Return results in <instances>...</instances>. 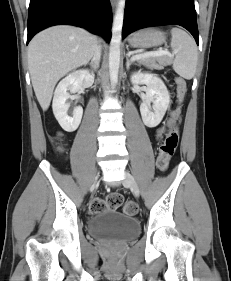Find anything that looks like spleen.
<instances>
[{
	"mask_svg": "<svg viewBox=\"0 0 231 281\" xmlns=\"http://www.w3.org/2000/svg\"><path fill=\"white\" fill-rule=\"evenodd\" d=\"M172 39L170 46L175 53L172 63L174 71L184 79L194 77L198 61V49L194 39L184 30L171 29Z\"/></svg>",
	"mask_w": 231,
	"mask_h": 281,
	"instance_id": "obj_1",
	"label": "spleen"
}]
</instances>
